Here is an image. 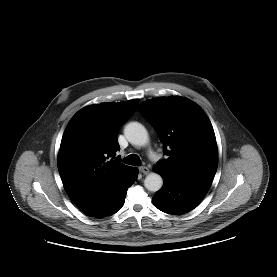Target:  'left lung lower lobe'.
Here are the masks:
<instances>
[{"instance_id":"left-lung-lower-lobe-1","label":"left lung lower lobe","mask_w":277,"mask_h":277,"mask_svg":"<svg viewBox=\"0 0 277 277\" xmlns=\"http://www.w3.org/2000/svg\"><path fill=\"white\" fill-rule=\"evenodd\" d=\"M161 176L164 186L154 195L153 203L159 210L169 214H183L194 209L210 188L202 183L184 182Z\"/></svg>"}]
</instances>
